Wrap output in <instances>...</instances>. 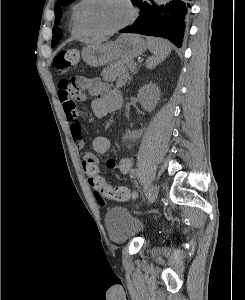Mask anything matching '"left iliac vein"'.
<instances>
[{"label": "left iliac vein", "mask_w": 245, "mask_h": 300, "mask_svg": "<svg viewBox=\"0 0 245 300\" xmlns=\"http://www.w3.org/2000/svg\"><path fill=\"white\" fill-rule=\"evenodd\" d=\"M157 196H158V187L157 185L153 184L151 187H150V190L148 192V202H147V205H151L156 199H157Z\"/></svg>", "instance_id": "left-iliac-vein-1"}]
</instances>
